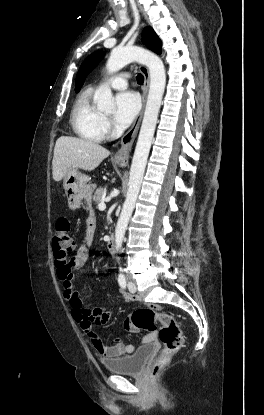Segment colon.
<instances>
[{
    "label": "colon",
    "instance_id": "colon-1",
    "mask_svg": "<svg viewBox=\"0 0 264 415\" xmlns=\"http://www.w3.org/2000/svg\"><path fill=\"white\" fill-rule=\"evenodd\" d=\"M53 243L55 253L60 258L66 257L73 250L71 224L67 217H60L57 220ZM129 321L139 328L149 330L155 329L157 323L161 324L159 336L164 348L153 365V374L156 375L169 361V358L182 346L183 338L179 324L172 315L160 311L156 306L133 312L129 317ZM94 322L99 324L101 319L96 318Z\"/></svg>",
    "mask_w": 264,
    "mask_h": 415
}]
</instances>
